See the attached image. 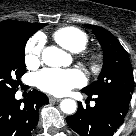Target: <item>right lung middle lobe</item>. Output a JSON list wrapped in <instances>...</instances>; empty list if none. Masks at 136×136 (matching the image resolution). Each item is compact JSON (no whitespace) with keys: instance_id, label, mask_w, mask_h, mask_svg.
I'll list each match as a JSON object with an SVG mask.
<instances>
[{"instance_id":"dd1d6c3e","label":"right lung middle lobe","mask_w":136,"mask_h":136,"mask_svg":"<svg viewBox=\"0 0 136 136\" xmlns=\"http://www.w3.org/2000/svg\"><path fill=\"white\" fill-rule=\"evenodd\" d=\"M46 26L42 24L40 28ZM33 35L25 30H13L7 35H0V94L17 91L20 77L25 73V45Z\"/></svg>"}]
</instances>
